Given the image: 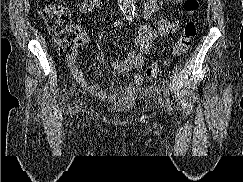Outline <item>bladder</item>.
<instances>
[{
    "label": "bladder",
    "mask_w": 243,
    "mask_h": 182,
    "mask_svg": "<svg viewBox=\"0 0 243 182\" xmlns=\"http://www.w3.org/2000/svg\"><path fill=\"white\" fill-rule=\"evenodd\" d=\"M136 108L134 98H125L107 106L108 111L112 113H130Z\"/></svg>",
    "instance_id": "bladder-1"
}]
</instances>
